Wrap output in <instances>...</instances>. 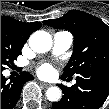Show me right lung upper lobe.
<instances>
[{
  "label": "right lung upper lobe",
  "mask_w": 109,
  "mask_h": 109,
  "mask_svg": "<svg viewBox=\"0 0 109 109\" xmlns=\"http://www.w3.org/2000/svg\"><path fill=\"white\" fill-rule=\"evenodd\" d=\"M41 28L40 22L25 23L8 16H1V33L25 43L31 33Z\"/></svg>",
  "instance_id": "cb5924a9"
}]
</instances>
